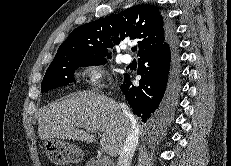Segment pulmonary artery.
<instances>
[{"label":"pulmonary artery","mask_w":231,"mask_h":166,"mask_svg":"<svg viewBox=\"0 0 231 166\" xmlns=\"http://www.w3.org/2000/svg\"><path fill=\"white\" fill-rule=\"evenodd\" d=\"M122 61L125 63V64H130L132 62V57L129 55V54H125L123 55L122 57Z\"/></svg>","instance_id":"1"}]
</instances>
